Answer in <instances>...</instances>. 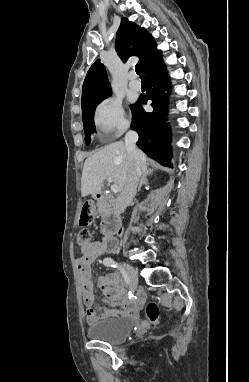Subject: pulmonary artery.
I'll return each mask as SVG.
<instances>
[{
	"label": "pulmonary artery",
	"mask_w": 249,
	"mask_h": 382,
	"mask_svg": "<svg viewBox=\"0 0 249 382\" xmlns=\"http://www.w3.org/2000/svg\"><path fill=\"white\" fill-rule=\"evenodd\" d=\"M129 86L133 90H140L141 89V81L137 79L135 72H131L129 74Z\"/></svg>",
	"instance_id": "1"
}]
</instances>
